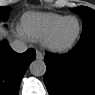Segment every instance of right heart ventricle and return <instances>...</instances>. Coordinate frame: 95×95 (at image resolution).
Instances as JSON below:
<instances>
[{"instance_id":"1","label":"right heart ventricle","mask_w":95,"mask_h":95,"mask_svg":"<svg viewBox=\"0 0 95 95\" xmlns=\"http://www.w3.org/2000/svg\"><path fill=\"white\" fill-rule=\"evenodd\" d=\"M64 17L50 12H28L21 19V30L29 39L42 41Z\"/></svg>"}]
</instances>
